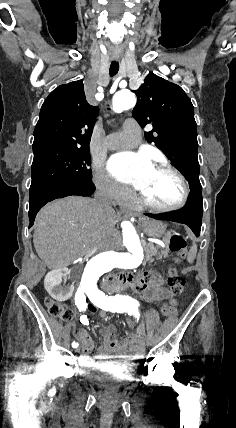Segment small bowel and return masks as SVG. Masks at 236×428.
<instances>
[{"label":"small bowel","instance_id":"c3829d8e","mask_svg":"<svg viewBox=\"0 0 236 428\" xmlns=\"http://www.w3.org/2000/svg\"><path fill=\"white\" fill-rule=\"evenodd\" d=\"M133 290L143 294L147 300L153 302L169 298L168 291L162 287L161 277L154 272H148L141 276ZM100 316L106 318L107 312L100 311ZM115 331L113 325H107L101 329L103 342L98 347L96 355H92L94 346L92 338L82 328L75 330L76 338L82 344L80 359L85 366L94 367L99 361L107 359L135 360L141 357L144 349L143 329L124 339L113 338Z\"/></svg>","mask_w":236,"mask_h":428}]
</instances>
